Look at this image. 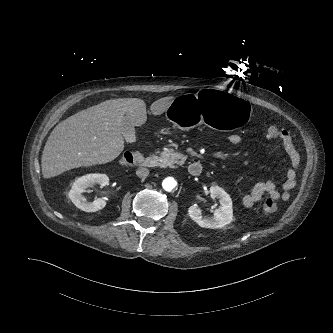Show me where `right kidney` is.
Returning <instances> with one entry per match:
<instances>
[{
	"label": "right kidney",
	"instance_id": "1",
	"mask_svg": "<svg viewBox=\"0 0 333 333\" xmlns=\"http://www.w3.org/2000/svg\"><path fill=\"white\" fill-rule=\"evenodd\" d=\"M99 184L104 187L109 184V177L106 174H87L75 180L69 191V198L74 205L85 212H95L105 207L106 202L102 198H97L93 202L83 200L82 193L86 192L89 186Z\"/></svg>",
	"mask_w": 333,
	"mask_h": 333
}]
</instances>
